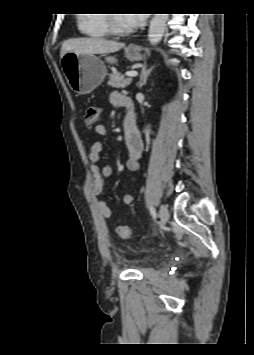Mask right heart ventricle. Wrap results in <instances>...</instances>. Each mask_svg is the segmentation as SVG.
Segmentation results:
<instances>
[{
	"label": "right heart ventricle",
	"instance_id": "e07e8e85",
	"mask_svg": "<svg viewBox=\"0 0 254 355\" xmlns=\"http://www.w3.org/2000/svg\"><path fill=\"white\" fill-rule=\"evenodd\" d=\"M107 13H86L78 17V28L81 33L91 38H106L109 36Z\"/></svg>",
	"mask_w": 254,
	"mask_h": 355
}]
</instances>
